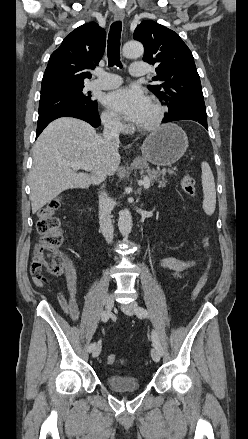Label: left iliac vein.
<instances>
[{
  "mask_svg": "<svg viewBox=\"0 0 248 439\" xmlns=\"http://www.w3.org/2000/svg\"><path fill=\"white\" fill-rule=\"evenodd\" d=\"M121 309H122L125 313H127V314H129V315H137V316H139V317H142V316H140V315L138 314V312H137L138 304H137L136 302H131V303L128 304V305H122V306H121ZM151 357H152V359H153L155 362H159V361H160L161 355H160V353H159V351L157 350L156 347H153V348H152V350H151Z\"/></svg>",
  "mask_w": 248,
  "mask_h": 439,
  "instance_id": "4c4485c4",
  "label": "left iliac vein"
}]
</instances>
